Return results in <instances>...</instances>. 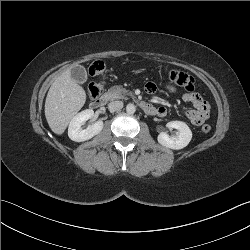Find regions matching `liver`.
Returning a JSON list of instances; mask_svg holds the SVG:
<instances>
[{
    "label": "liver",
    "mask_w": 250,
    "mask_h": 250,
    "mask_svg": "<svg viewBox=\"0 0 250 250\" xmlns=\"http://www.w3.org/2000/svg\"><path fill=\"white\" fill-rule=\"evenodd\" d=\"M85 101V90L71 78V68L63 71L52 83L45 101V117L51 130L63 134Z\"/></svg>",
    "instance_id": "6515ba94"
}]
</instances>
